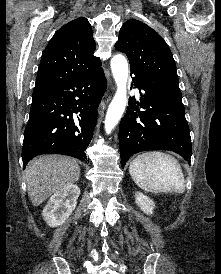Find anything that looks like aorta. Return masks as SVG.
Returning a JSON list of instances; mask_svg holds the SVG:
<instances>
[{"label":"aorta","instance_id":"aorta-1","mask_svg":"<svg viewBox=\"0 0 221 274\" xmlns=\"http://www.w3.org/2000/svg\"><path fill=\"white\" fill-rule=\"evenodd\" d=\"M111 69L117 85L116 93L108 107L105 117V131L110 134L121 119L127 104L128 63L126 58L117 54L111 59Z\"/></svg>","mask_w":221,"mask_h":274}]
</instances>
